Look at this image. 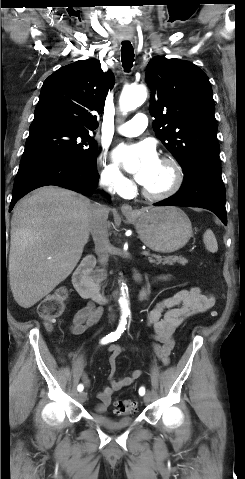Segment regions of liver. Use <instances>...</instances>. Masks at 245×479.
<instances>
[{
	"instance_id": "1",
	"label": "liver",
	"mask_w": 245,
	"mask_h": 479,
	"mask_svg": "<svg viewBox=\"0 0 245 479\" xmlns=\"http://www.w3.org/2000/svg\"><path fill=\"white\" fill-rule=\"evenodd\" d=\"M91 202L73 191L45 186L13 210L9 278L15 301L30 308L74 270L90 234Z\"/></svg>"
}]
</instances>
